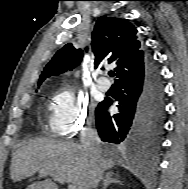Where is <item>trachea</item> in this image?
<instances>
[{
  "mask_svg": "<svg viewBox=\"0 0 188 189\" xmlns=\"http://www.w3.org/2000/svg\"><path fill=\"white\" fill-rule=\"evenodd\" d=\"M109 75H110L111 77H114L115 73H114L113 71H110V72H109Z\"/></svg>",
  "mask_w": 188,
  "mask_h": 189,
  "instance_id": "1",
  "label": "trachea"
}]
</instances>
